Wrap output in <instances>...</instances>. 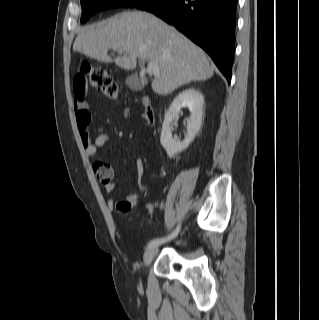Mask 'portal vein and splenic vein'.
Masks as SVG:
<instances>
[{"mask_svg": "<svg viewBox=\"0 0 319 320\" xmlns=\"http://www.w3.org/2000/svg\"><path fill=\"white\" fill-rule=\"evenodd\" d=\"M122 53V51H120ZM148 71L155 76H159V66L156 62H149L148 63Z\"/></svg>", "mask_w": 319, "mask_h": 320, "instance_id": "obj_1", "label": "portal vein and splenic vein"}]
</instances>
